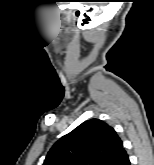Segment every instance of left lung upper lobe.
I'll return each mask as SVG.
<instances>
[{"instance_id":"5c2ea615","label":"left lung upper lobe","mask_w":154,"mask_h":165,"mask_svg":"<svg viewBox=\"0 0 154 165\" xmlns=\"http://www.w3.org/2000/svg\"><path fill=\"white\" fill-rule=\"evenodd\" d=\"M122 150V141L114 129L99 119H91L59 139L43 165H117Z\"/></svg>"}]
</instances>
